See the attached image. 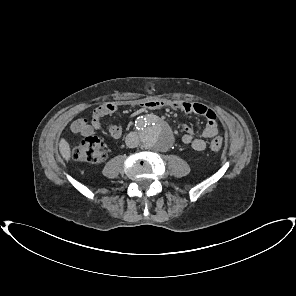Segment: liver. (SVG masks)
<instances>
[{
    "instance_id": "liver-1",
    "label": "liver",
    "mask_w": 296,
    "mask_h": 296,
    "mask_svg": "<svg viewBox=\"0 0 296 296\" xmlns=\"http://www.w3.org/2000/svg\"><path fill=\"white\" fill-rule=\"evenodd\" d=\"M59 150L62 155V157L66 160L69 161L71 157V150H70V145L65 139H61L59 143Z\"/></svg>"
}]
</instances>
